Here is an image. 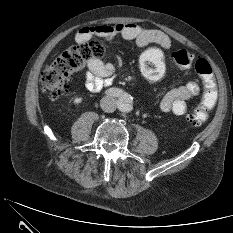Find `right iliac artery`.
I'll use <instances>...</instances> for the list:
<instances>
[{
	"label": "right iliac artery",
	"instance_id": "82829eb1",
	"mask_svg": "<svg viewBox=\"0 0 233 233\" xmlns=\"http://www.w3.org/2000/svg\"><path fill=\"white\" fill-rule=\"evenodd\" d=\"M107 95H112V96H123V92L119 89H110L108 92H107Z\"/></svg>",
	"mask_w": 233,
	"mask_h": 233
}]
</instances>
